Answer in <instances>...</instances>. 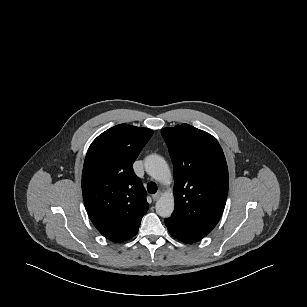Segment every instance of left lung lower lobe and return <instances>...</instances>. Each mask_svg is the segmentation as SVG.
<instances>
[{"instance_id":"0a47b994","label":"left lung lower lobe","mask_w":307,"mask_h":307,"mask_svg":"<svg viewBox=\"0 0 307 307\" xmlns=\"http://www.w3.org/2000/svg\"><path fill=\"white\" fill-rule=\"evenodd\" d=\"M165 224L170 232V234L175 237L176 239L185 242V243H194L198 240H200L201 238L190 234L188 232H186L185 230H183L182 228H180L177 224H175L172 220H170L169 218L165 220Z\"/></svg>"}]
</instances>
